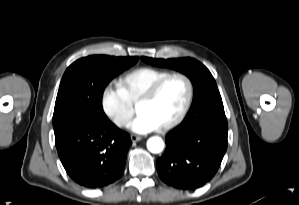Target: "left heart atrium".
Listing matches in <instances>:
<instances>
[{"instance_id": "obj_1", "label": "left heart atrium", "mask_w": 299, "mask_h": 205, "mask_svg": "<svg viewBox=\"0 0 299 205\" xmlns=\"http://www.w3.org/2000/svg\"><path fill=\"white\" fill-rule=\"evenodd\" d=\"M129 128L136 133L145 134L159 128V125L147 114L138 113L131 121Z\"/></svg>"}]
</instances>
